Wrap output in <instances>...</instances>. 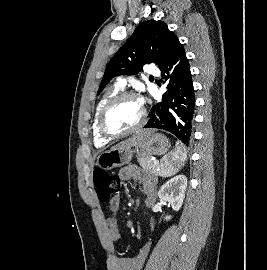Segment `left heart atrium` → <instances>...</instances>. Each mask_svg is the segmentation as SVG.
Here are the masks:
<instances>
[{
	"label": "left heart atrium",
	"instance_id": "left-heart-atrium-1",
	"mask_svg": "<svg viewBox=\"0 0 267 270\" xmlns=\"http://www.w3.org/2000/svg\"><path fill=\"white\" fill-rule=\"evenodd\" d=\"M138 102H139V104L142 106V104H143V99H142V98L139 99Z\"/></svg>",
	"mask_w": 267,
	"mask_h": 270
}]
</instances>
